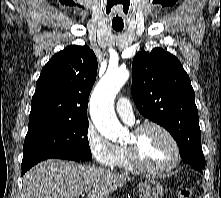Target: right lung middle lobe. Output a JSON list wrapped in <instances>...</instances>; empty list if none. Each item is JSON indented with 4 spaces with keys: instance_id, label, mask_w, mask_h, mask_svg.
<instances>
[{
    "instance_id": "dd1d6c3e",
    "label": "right lung middle lobe",
    "mask_w": 221,
    "mask_h": 198,
    "mask_svg": "<svg viewBox=\"0 0 221 198\" xmlns=\"http://www.w3.org/2000/svg\"><path fill=\"white\" fill-rule=\"evenodd\" d=\"M88 119H41L29 122L21 168L50 155L92 159L87 138Z\"/></svg>"
}]
</instances>
